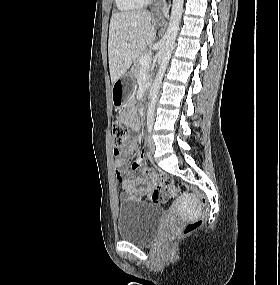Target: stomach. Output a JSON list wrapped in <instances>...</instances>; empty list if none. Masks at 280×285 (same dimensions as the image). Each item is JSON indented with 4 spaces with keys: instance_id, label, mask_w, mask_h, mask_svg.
Listing matches in <instances>:
<instances>
[{
    "instance_id": "obj_1",
    "label": "stomach",
    "mask_w": 280,
    "mask_h": 285,
    "mask_svg": "<svg viewBox=\"0 0 280 285\" xmlns=\"http://www.w3.org/2000/svg\"><path fill=\"white\" fill-rule=\"evenodd\" d=\"M132 81V76L125 74L114 83L112 89V103L114 106H120L124 103L127 96V89L131 86Z\"/></svg>"
}]
</instances>
